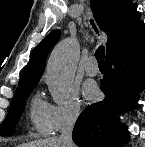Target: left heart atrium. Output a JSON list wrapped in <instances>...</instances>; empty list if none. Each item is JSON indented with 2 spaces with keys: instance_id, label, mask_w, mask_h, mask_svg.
I'll return each instance as SVG.
<instances>
[{
  "instance_id": "1",
  "label": "left heart atrium",
  "mask_w": 145,
  "mask_h": 147,
  "mask_svg": "<svg viewBox=\"0 0 145 147\" xmlns=\"http://www.w3.org/2000/svg\"><path fill=\"white\" fill-rule=\"evenodd\" d=\"M83 93L86 99L94 100L98 97V88L92 81H87L83 86Z\"/></svg>"
}]
</instances>
